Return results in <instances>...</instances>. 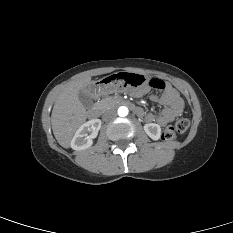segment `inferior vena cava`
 Instances as JSON below:
<instances>
[{
    "label": "inferior vena cava",
    "mask_w": 233,
    "mask_h": 233,
    "mask_svg": "<svg viewBox=\"0 0 233 233\" xmlns=\"http://www.w3.org/2000/svg\"><path fill=\"white\" fill-rule=\"evenodd\" d=\"M115 117H116L115 110H107L106 112H104V114L102 116L103 120H105V121L113 119Z\"/></svg>",
    "instance_id": "obj_1"
}]
</instances>
